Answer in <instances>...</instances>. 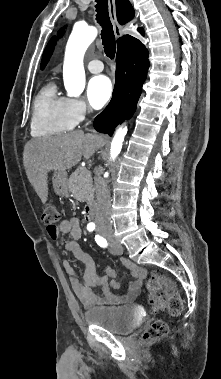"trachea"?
<instances>
[{"label": "trachea", "instance_id": "1", "mask_svg": "<svg viewBox=\"0 0 221 379\" xmlns=\"http://www.w3.org/2000/svg\"><path fill=\"white\" fill-rule=\"evenodd\" d=\"M96 1V20L101 25V38L104 46L105 54L113 59L116 52L115 35L113 32V26L111 24L107 0H95Z\"/></svg>", "mask_w": 221, "mask_h": 379}]
</instances>
